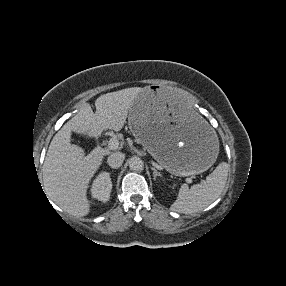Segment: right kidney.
Instances as JSON below:
<instances>
[{"label":"right kidney","mask_w":286,"mask_h":286,"mask_svg":"<svg viewBox=\"0 0 286 286\" xmlns=\"http://www.w3.org/2000/svg\"><path fill=\"white\" fill-rule=\"evenodd\" d=\"M112 190L110 174L107 172L100 173L94 180L91 188L93 198L106 202L109 200Z\"/></svg>","instance_id":"obj_1"}]
</instances>
